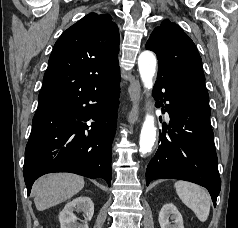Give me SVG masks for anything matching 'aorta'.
Wrapping results in <instances>:
<instances>
[{"instance_id":"obj_1","label":"aorta","mask_w":238,"mask_h":228,"mask_svg":"<svg viewBox=\"0 0 238 228\" xmlns=\"http://www.w3.org/2000/svg\"><path fill=\"white\" fill-rule=\"evenodd\" d=\"M157 60L151 51H143L138 57V68L144 88L150 90L153 86V78L156 73ZM156 141V128L154 116L147 114L142 125L139 151L141 154L149 153Z\"/></svg>"}]
</instances>
